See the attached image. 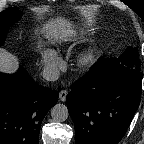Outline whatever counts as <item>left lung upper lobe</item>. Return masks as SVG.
I'll return each instance as SVG.
<instances>
[{
  "mask_svg": "<svg viewBox=\"0 0 144 144\" xmlns=\"http://www.w3.org/2000/svg\"><path fill=\"white\" fill-rule=\"evenodd\" d=\"M120 66L130 69H140L139 56L136 48L129 46L119 58H113L107 61L108 70H112Z\"/></svg>",
  "mask_w": 144,
  "mask_h": 144,
  "instance_id": "obj_1",
  "label": "left lung upper lobe"
}]
</instances>
